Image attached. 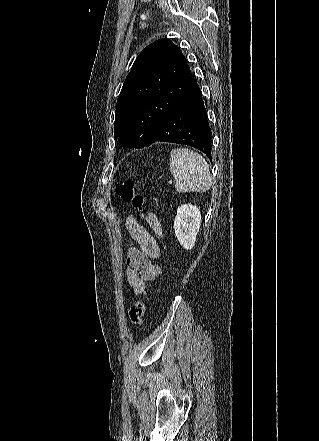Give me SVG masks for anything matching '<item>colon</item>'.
<instances>
[{
	"label": "colon",
	"instance_id": "1",
	"mask_svg": "<svg viewBox=\"0 0 319 441\" xmlns=\"http://www.w3.org/2000/svg\"><path fill=\"white\" fill-rule=\"evenodd\" d=\"M116 194L122 202L131 203L144 217V197L136 190L132 181L126 180L117 186ZM145 310L146 303L144 301H138L130 307L129 317L134 325L138 326L142 323Z\"/></svg>",
	"mask_w": 319,
	"mask_h": 441
}]
</instances>
